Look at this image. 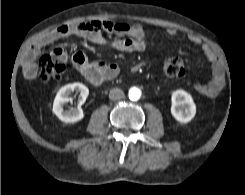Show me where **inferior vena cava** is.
<instances>
[{"instance_id": "1", "label": "inferior vena cava", "mask_w": 245, "mask_h": 195, "mask_svg": "<svg viewBox=\"0 0 245 195\" xmlns=\"http://www.w3.org/2000/svg\"><path fill=\"white\" fill-rule=\"evenodd\" d=\"M125 97L124 92L119 88H114L109 93L110 100H121Z\"/></svg>"}]
</instances>
